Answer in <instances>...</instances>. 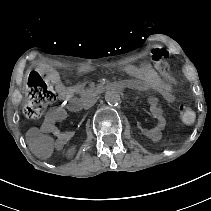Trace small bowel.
Masks as SVG:
<instances>
[{
	"label": "small bowel",
	"mask_w": 211,
	"mask_h": 211,
	"mask_svg": "<svg viewBox=\"0 0 211 211\" xmlns=\"http://www.w3.org/2000/svg\"><path fill=\"white\" fill-rule=\"evenodd\" d=\"M128 71L132 72L136 76V81L138 83L139 90L153 89L156 90L166 101L174 100V92L170 85L160 79L158 75L154 72L140 71L129 67ZM47 78L55 84L56 90L58 92L61 101L71 99L76 92L79 91L80 85L67 86L63 83L58 73L48 69H42ZM150 106V112L154 119V123L143 129L145 135L150 139H158L161 131L166 126V118L162 109L159 106L157 97H150L148 99ZM58 116L55 111L50 112L42 125V131L53 135L56 138V146L62 147L69 141V134L61 131L57 126Z\"/></svg>",
	"instance_id": "1"
}]
</instances>
